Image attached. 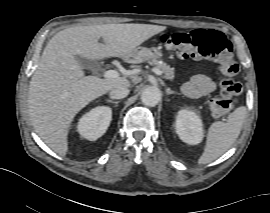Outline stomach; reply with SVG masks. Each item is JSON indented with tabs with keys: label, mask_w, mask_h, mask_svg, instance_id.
<instances>
[{
	"label": "stomach",
	"mask_w": 270,
	"mask_h": 213,
	"mask_svg": "<svg viewBox=\"0 0 270 213\" xmlns=\"http://www.w3.org/2000/svg\"><path fill=\"white\" fill-rule=\"evenodd\" d=\"M163 56L159 48H146L138 46L127 57V60L133 63H141L148 60L159 59Z\"/></svg>",
	"instance_id": "0dacf381"
}]
</instances>
